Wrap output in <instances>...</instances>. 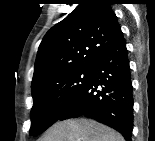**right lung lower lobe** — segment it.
I'll list each match as a JSON object with an SVG mask.
<instances>
[{
  "label": "right lung lower lobe",
  "mask_w": 155,
  "mask_h": 141,
  "mask_svg": "<svg viewBox=\"0 0 155 141\" xmlns=\"http://www.w3.org/2000/svg\"><path fill=\"white\" fill-rule=\"evenodd\" d=\"M133 104L126 42L121 33L100 56L90 80L59 120L80 116L94 118L131 140Z\"/></svg>",
  "instance_id": "1"
}]
</instances>
